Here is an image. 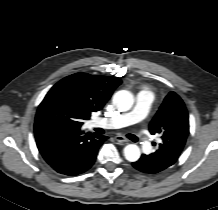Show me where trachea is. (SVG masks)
Wrapping results in <instances>:
<instances>
[{
    "mask_svg": "<svg viewBox=\"0 0 218 210\" xmlns=\"http://www.w3.org/2000/svg\"><path fill=\"white\" fill-rule=\"evenodd\" d=\"M127 137H128L130 140L134 141V142H137V141H138L137 137L134 136L133 134H127Z\"/></svg>",
    "mask_w": 218,
    "mask_h": 210,
    "instance_id": "1",
    "label": "trachea"
}]
</instances>
